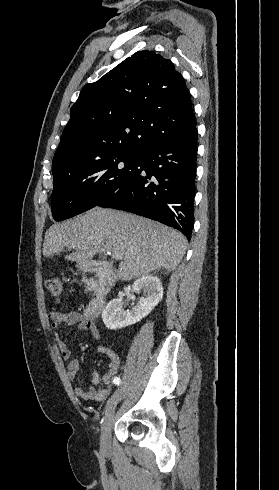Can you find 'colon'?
Masks as SVG:
<instances>
[{
	"label": "colon",
	"instance_id": "colon-1",
	"mask_svg": "<svg viewBox=\"0 0 279 490\" xmlns=\"http://www.w3.org/2000/svg\"><path fill=\"white\" fill-rule=\"evenodd\" d=\"M46 289L55 298H60L62 295L63 283L59 278H50L46 281Z\"/></svg>",
	"mask_w": 279,
	"mask_h": 490
}]
</instances>
